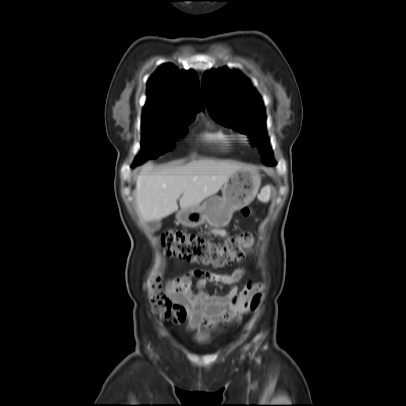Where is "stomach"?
I'll return each instance as SVG.
<instances>
[{"mask_svg": "<svg viewBox=\"0 0 406 406\" xmlns=\"http://www.w3.org/2000/svg\"><path fill=\"white\" fill-rule=\"evenodd\" d=\"M260 184L261 177L258 172L241 168L225 182L222 197L211 196L202 205L182 209L176 218L187 227H197L204 222L212 227H225L230 222L233 212L254 200Z\"/></svg>", "mask_w": 406, "mask_h": 406, "instance_id": "obj_1", "label": "stomach"}]
</instances>
